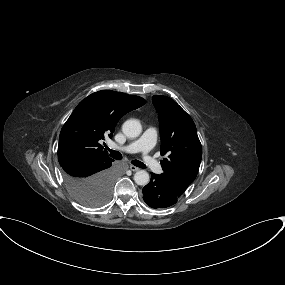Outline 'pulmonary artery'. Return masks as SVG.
I'll use <instances>...</instances> for the list:
<instances>
[{
  "label": "pulmonary artery",
  "instance_id": "1",
  "mask_svg": "<svg viewBox=\"0 0 285 285\" xmlns=\"http://www.w3.org/2000/svg\"><path fill=\"white\" fill-rule=\"evenodd\" d=\"M156 136V128L149 126L140 138L124 145L114 144L112 147L124 153L140 152L143 164L151 171L160 173L162 167L150 153L154 147Z\"/></svg>",
  "mask_w": 285,
  "mask_h": 285
}]
</instances>
